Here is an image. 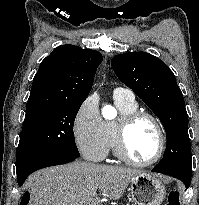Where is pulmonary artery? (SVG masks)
I'll return each mask as SVG.
<instances>
[{
    "label": "pulmonary artery",
    "instance_id": "e3ab8cb5",
    "mask_svg": "<svg viewBox=\"0 0 199 205\" xmlns=\"http://www.w3.org/2000/svg\"><path fill=\"white\" fill-rule=\"evenodd\" d=\"M114 96L124 97L127 99H134V95L131 90L126 89V88H121V87L115 89Z\"/></svg>",
    "mask_w": 199,
    "mask_h": 205
}]
</instances>
